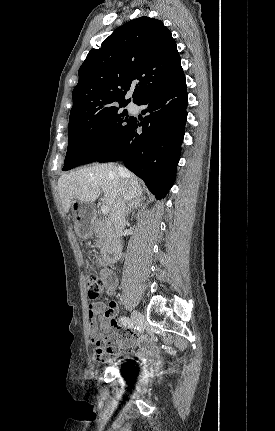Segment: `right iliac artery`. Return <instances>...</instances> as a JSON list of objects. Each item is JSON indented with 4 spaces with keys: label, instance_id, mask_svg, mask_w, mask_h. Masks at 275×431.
Returning a JSON list of instances; mask_svg holds the SVG:
<instances>
[{
    "label": "right iliac artery",
    "instance_id": "obj_1",
    "mask_svg": "<svg viewBox=\"0 0 275 431\" xmlns=\"http://www.w3.org/2000/svg\"><path fill=\"white\" fill-rule=\"evenodd\" d=\"M120 321L122 322L123 325L128 326V327H133V322L131 321L130 318L128 317H121Z\"/></svg>",
    "mask_w": 275,
    "mask_h": 431
}]
</instances>
